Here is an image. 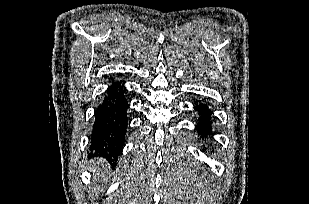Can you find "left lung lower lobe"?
<instances>
[{
    "mask_svg": "<svg viewBox=\"0 0 309 204\" xmlns=\"http://www.w3.org/2000/svg\"><path fill=\"white\" fill-rule=\"evenodd\" d=\"M194 108L200 116L199 122L196 125L197 131L199 135H201L202 137H206L211 134V111L204 103L196 104Z\"/></svg>",
    "mask_w": 309,
    "mask_h": 204,
    "instance_id": "obj_1",
    "label": "left lung lower lobe"
}]
</instances>
